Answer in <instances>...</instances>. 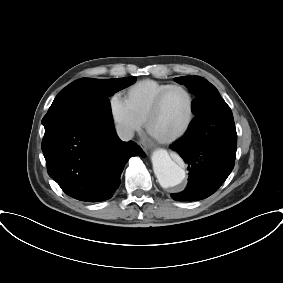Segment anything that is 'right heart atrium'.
<instances>
[{
	"mask_svg": "<svg viewBox=\"0 0 283 283\" xmlns=\"http://www.w3.org/2000/svg\"><path fill=\"white\" fill-rule=\"evenodd\" d=\"M110 115L119 136L125 140L140 130L141 123L135 118L125 100L114 95L109 101Z\"/></svg>",
	"mask_w": 283,
	"mask_h": 283,
	"instance_id": "1",
	"label": "right heart atrium"
}]
</instances>
